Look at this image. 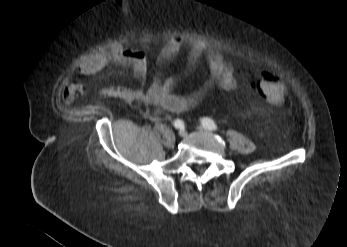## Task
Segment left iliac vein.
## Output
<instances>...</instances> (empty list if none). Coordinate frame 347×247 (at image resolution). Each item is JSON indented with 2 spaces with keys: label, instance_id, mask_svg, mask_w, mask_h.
Returning a JSON list of instances; mask_svg holds the SVG:
<instances>
[{
  "label": "left iliac vein",
  "instance_id": "obj_1",
  "mask_svg": "<svg viewBox=\"0 0 347 247\" xmlns=\"http://www.w3.org/2000/svg\"><path fill=\"white\" fill-rule=\"evenodd\" d=\"M198 129H199L200 131H207V129H206L205 127H202V126H199Z\"/></svg>",
  "mask_w": 347,
  "mask_h": 247
}]
</instances>
